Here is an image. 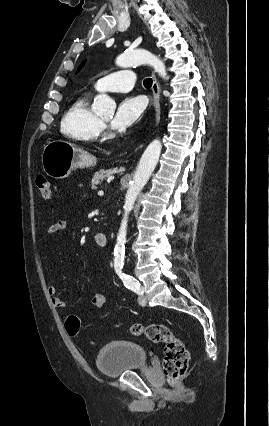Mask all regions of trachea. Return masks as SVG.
Segmentation results:
<instances>
[{
	"mask_svg": "<svg viewBox=\"0 0 269 426\" xmlns=\"http://www.w3.org/2000/svg\"><path fill=\"white\" fill-rule=\"evenodd\" d=\"M145 88H150L152 86V79L151 78H146L143 82Z\"/></svg>",
	"mask_w": 269,
	"mask_h": 426,
	"instance_id": "obj_1",
	"label": "trachea"
}]
</instances>
